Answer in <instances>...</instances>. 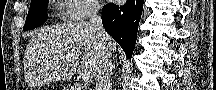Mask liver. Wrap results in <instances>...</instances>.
I'll use <instances>...</instances> for the list:
<instances>
[{"label": "liver", "instance_id": "6515ba94", "mask_svg": "<svg viewBox=\"0 0 216 90\" xmlns=\"http://www.w3.org/2000/svg\"><path fill=\"white\" fill-rule=\"evenodd\" d=\"M89 22L68 20L61 26H46L33 34L25 52L24 64H40L49 78L70 80L77 70L92 78L93 66L99 60V40ZM111 52L117 48L110 40Z\"/></svg>", "mask_w": 216, "mask_h": 90}]
</instances>
